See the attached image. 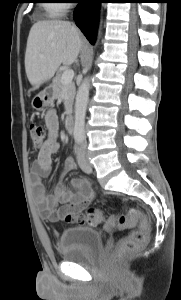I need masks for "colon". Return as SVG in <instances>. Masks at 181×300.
Listing matches in <instances>:
<instances>
[{
    "instance_id": "colon-1",
    "label": "colon",
    "mask_w": 181,
    "mask_h": 300,
    "mask_svg": "<svg viewBox=\"0 0 181 300\" xmlns=\"http://www.w3.org/2000/svg\"><path fill=\"white\" fill-rule=\"evenodd\" d=\"M29 136L33 147H41L47 137L46 129L37 124L29 126ZM69 221H75L76 218L68 215ZM82 224L99 225L105 223V229L108 232L126 228L136 227L132 232L125 236L118 244L114 252V260L119 262L129 256L135 251L144 246L149 239L150 223L144 212L139 209L131 208L126 214L112 216L105 219L104 213L97 209H90L84 216L77 219Z\"/></svg>"
}]
</instances>
